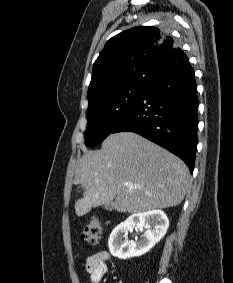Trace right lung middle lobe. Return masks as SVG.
Wrapping results in <instances>:
<instances>
[{"instance_id":"obj_1","label":"right lung middle lobe","mask_w":233,"mask_h":283,"mask_svg":"<svg viewBox=\"0 0 233 283\" xmlns=\"http://www.w3.org/2000/svg\"><path fill=\"white\" fill-rule=\"evenodd\" d=\"M148 85L131 84L102 95L88 105L86 145L101 143L129 113Z\"/></svg>"}]
</instances>
